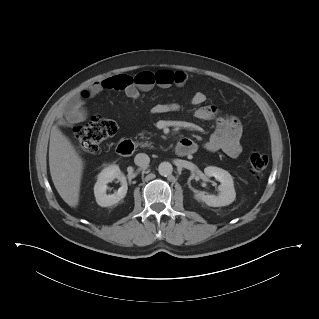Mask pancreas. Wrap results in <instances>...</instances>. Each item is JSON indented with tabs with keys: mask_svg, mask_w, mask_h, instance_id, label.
<instances>
[{
	"mask_svg": "<svg viewBox=\"0 0 319 319\" xmlns=\"http://www.w3.org/2000/svg\"><path fill=\"white\" fill-rule=\"evenodd\" d=\"M143 135V134H142ZM138 145H140L141 147H150V148H152L153 146L151 145V143L150 142H148V141H146V142H141V143H139Z\"/></svg>",
	"mask_w": 319,
	"mask_h": 319,
	"instance_id": "obj_1",
	"label": "pancreas"
}]
</instances>
